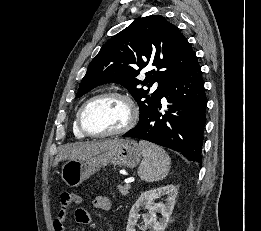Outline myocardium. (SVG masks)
<instances>
[{"label": "myocardium", "instance_id": "1", "mask_svg": "<svg viewBox=\"0 0 261 231\" xmlns=\"http://www.w3.org/2000/svg\"><path fill=\"white\" fill-rule=\"evenodd\" d=\"M110 97H115V98H120L124 100L130 110V118L127 124L122 127L121 129L115 130V131H110V132H104V133H94L89 131L85 124H84V114L87 111V109L93 105L95 102L105 99V98H110ZM139 118V110L138 107L133 100V98L123 92H118V91H109V92H104L100 93L98 95L93 96L92 98L88 99L79 109L78 115H77V125L82 134H84L87 137H93V138H103V137H109V136H118V135H123L128 133L130 130H132L135 125L138 122Z\"/></svg>", "mask_w": 261, "mask_h": 231}]
</instances>
